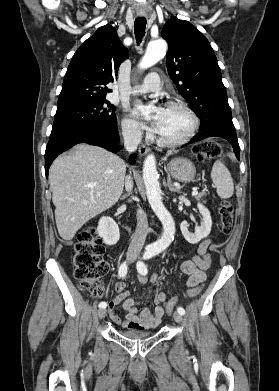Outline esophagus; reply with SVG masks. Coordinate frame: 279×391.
<instances>
[{
  "instance_id": "34e87169",
  "label": "esophagus",
  "mask_w": 279,
  "mask_h": 391,
  "mask_svg": "<svg viewBox=\"0 0 279 391\" xmlns=\"http://www.w3.org/2000/svg\"><path fill=\"white\" fill-rule=\"evenodd\" d=\"M149 151H150V149L148 147L144 146V145H141L139 147V153H140L141 156L146 155Z\"/></svg>"
}]
</instances>
